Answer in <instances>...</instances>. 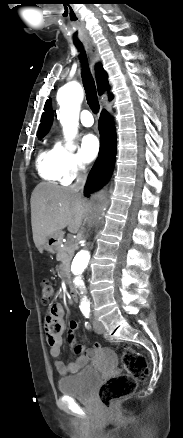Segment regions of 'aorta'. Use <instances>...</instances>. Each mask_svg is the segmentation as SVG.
Listing matches in <instances>:
<instances>
[{
	"mask_svg": "<svg viewBox=\"0 0 183 438\" xmlns=\"http://www.w3.org/2000/svg\"><path fill=\"white\" fill-rule=\"evenodd\" d=\"M83 100V89L77 82H69L59 88L57 92V101L60 105V123L63 126V133L66 140L71 141L76 133L79 121L80 104ZM99 207V202H97ZM91 261V255L88 251H79L72 262L73 285L81 294V305L88 304L87 297L83 295L85 283L83 273L88 268Z\"/></svg>",
	"mask_w": 183,
	"mask_h": 438,
	"instance_id": "762f6f07",
	"label": "aorta"
}]
</instances>
